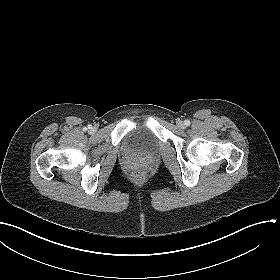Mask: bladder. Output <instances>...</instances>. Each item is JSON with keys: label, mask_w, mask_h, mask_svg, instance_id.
<instances>
[{"label": "bladder", "mask_w": 280, "mask_h": 280, "mask_svg": "<svg viewBox=\"0 0 280 280\" xmlns=\"http://www.w3.org/2000/svg\"><path fill=\"white\" fill-rule=\"evenodd\" d=\"M127 147L143 152H151L155 149L154 137L145 130L131 133L125 141Z\"/></svg>", "instance_id": "31cf9c89"}]
</instances>
